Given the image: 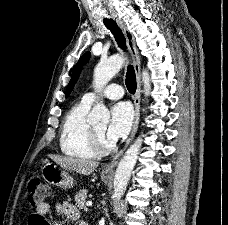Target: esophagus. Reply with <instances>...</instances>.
<instances>
[{
	"label": "esophagus",
	"mask_w": 228,
	"mask_h": 225,
	"mask_svg": "<svg viewBox=\"0 0 228 225\" xmlns=\"http://www.w3.org/2000/svg\"><path fill=\"white\" fill-rule=\"evenodd\" d=\"M117 24L119 25L120 29L124 33V36L126 38L128 50L131 53L133 63H134V70L136 74V82H137V88L136 93L133 97L134 100V107H135V118L133 122V127L131 134L128 138V140L125 143V146L121 152H119L115 157L112 158L111 162L107 163L102 169L101 175L104 178H111L114 175V168L120 158V156L123 154L124 150L128 147L129 143L134 139L138 125H139V119H140V98H141V68H140V58H139V51L135 42V38L133 34L128 30L126 24L117 16L114 17Z\"/></svg>",
	"instance_id": "1"
}]
</instances>
